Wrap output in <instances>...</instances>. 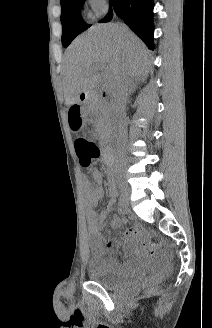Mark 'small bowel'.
Here are the masks:
<instances>
[{
	"label": "small bowel",
	"mask_w": 212,
	"mask_h": 328,
	"mask_svg": "<svg viewBox=\"0 0 212 328\" xmlns=\"http://www.w3.org/2000/svg\"><path fill=\"white\" fill-rule=\"evenodd\" d=\"M82 188L85 199L86 218L88 224V231L91 238V247L96 253H101L104 248V240L101 235V230L105 225V221L108 212L111 211L115 204V194L111 190L112 199L108 208L101 212H96L99 201L103 196V175L99 171L92 172V181L85 175L82 177ZM121 221L118 217L113 220V226L118 227ZM108 247L114 245V241H109ZM123 251L127 257L134 253L150 254L153 252L147 242V236L145 231L140 226H133L127 229L124 233ZM109 265L114 270H121L123 265L116 258H110L107 260Z\"/></svg>",
	"instance_id": "small-bowel-1"
}]
</instances>
